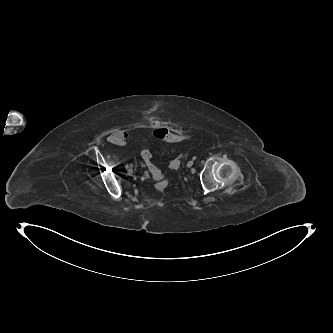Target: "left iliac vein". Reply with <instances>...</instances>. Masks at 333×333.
I'll list each match as a JSON object with an SVG mask.
<instances>
[{"label": "left iliac vein", "mask_w": 333, "mask_h": 333, "mask_svg": "<svg viewBox=\"0 0 333 333\" xmlns=\"http://www.w3.org/2000/svg\"><path fill=\"white\" fill-rule=\"evenodd\" d=\"M193 161H189L188 163H187V167H192V165H193Z\"/></svg>", "instance_id": "left-iliac-vein-1"}]
</instances>
